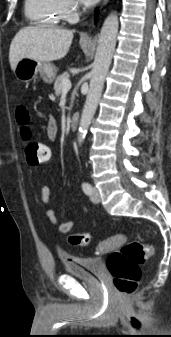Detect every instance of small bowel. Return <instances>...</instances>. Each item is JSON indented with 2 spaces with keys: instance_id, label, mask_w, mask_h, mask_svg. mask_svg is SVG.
<instances>
[{
  "instance_id": "small-bowel-1",
  "label": "small bowel",
  "mask_w": 171,
  "mask_h": 337,
  "mask_svg": "<svg viewBox=\"0 0 171 337\" xmlns=\"http://www.w3.org/2000/svg\"><path fill=\"white\" fill-rule=\"evenodd\" d=\"M45 132H46L48 139L51 141L56 140V138L58 137V132H59L58 125H57L56 120L52 116H50L46 122ZM40 193H41L42 202L45 205H48L50 202V195H51L49 186L43 185L41 187ZM46 216L51 222V224L56 226L58 231L61 233H68L69 231H71V229L76 223L75 217L66 222H59L55 211L51 208L46 209Z\"/></svg>"
}]
</instances>
